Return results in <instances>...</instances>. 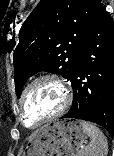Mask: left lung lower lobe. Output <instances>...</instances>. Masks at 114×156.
<instances>
[{"mask_svg":"<svg viewBox=\"0 0 114 156\" xmlns=\"http://www.w3.org/2000/svg\"><path fill=\"white\" fill-rule=\"evenodd\" d=\"M73 103L62 118L94 122L114 133V22L100 3L71 79Z\"/></svg>","mask_w":114,"mask_h":156,"instance_id":"left-lung-lower-lobe-1","label":"left lung lower lobe"}]
</instances>
